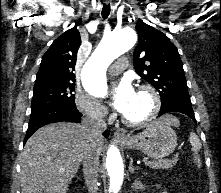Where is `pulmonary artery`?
I'll list each match as a JSON object with an SVG mask.
<instances>
[{
  "mask_svg": "<svg viewBox=\"0 0 221 193\" xmlns=\"http://www.w3.org/2000/svg\"><path fill=\"white\" fill-rule=\"evenodd\" d=\"M128 65V60L126 57L120 58L114 65L109 68V73L112 75L119 74Z\"/></svg>",
  "mask_w": 221,
  "mask_h": 193,
  "instance_id": "obj_1",
  "label": "pulmonary artery"
}]
</instances>
